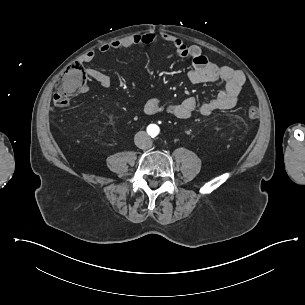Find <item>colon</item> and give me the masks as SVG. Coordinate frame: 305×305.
<instances>
[{
	"mask_svg": "<svg viewBox=\"0 0 305 305\" xmlns=\"http://www.w3.org/2000/svg\"><path fill=\"white\" fill-rule=\"evenodd\" d=\"M87 86V77L82 73V66L78 61H71L68 64V70L56 83V91L54 94V106L57 108H65L69 101L73 100L81 89ZM257 109L250 108L247 111L249 118L257 117Z\"/></svg>",
	"mask_w": 305,
	"mask_h": 305,
	"instance_id": "obj_1",
	"label": "colon"
}]
</instances>
